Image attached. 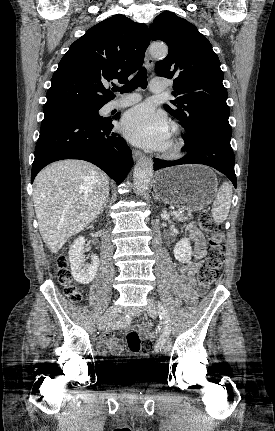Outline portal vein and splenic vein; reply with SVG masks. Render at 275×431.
I'll return each mask as SVG.
<instances>
[{
	"mask_svg": "<svg viewBox=\"0 0 275 431\" xmlns=\"http://www.w3.org/2000/svg\"><path fill=\"white\" fill-rule=\"evenodd\" d=\"M171 213H172L173 215H175V216H179V215H181V212H180V211H177V210H173Z\"/></svg>",
	"mask_w": 275,
	"mask_h": 431,
	"instance_id": "obj_1",
	"label": "portal vein and splenic vein"
}]
</instances>
